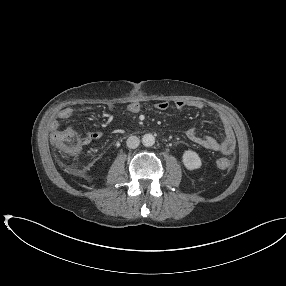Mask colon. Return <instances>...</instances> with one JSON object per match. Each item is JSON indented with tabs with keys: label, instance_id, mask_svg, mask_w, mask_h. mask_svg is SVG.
I'll use <instances>...</instances> for the list:
<instances>
[{
	"label": "colon",
	"instance_id": "obj_1",
	"mask_svg": "<svg viewBox=\"0 0 286 286\" xmlns=\"http://www.w3.org/2000/svg\"><path fill=\"white\" fill-rule=\"evenodd\" d=\"M52 141L63 156H77L87 144L86 136L79 135L72 130L57 131L52 136ZM234 158H221L217 165L221 169H229L233 166Z\"/></svg>",
	"mask_w": 286,
	"mask_h": 286
}]
</instances>
